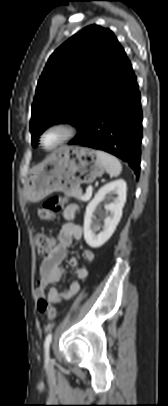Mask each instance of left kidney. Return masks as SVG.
Here are the masks:
<instances>
[{
    "instance_id": "5707ae66",
    "label": "left kidney",
    "mask_w": 168,
    "mask_h": 406,
    "mask_svg": "<svg viewBox=\"0 0 168 406\" xmlns=\"http://www.w3.org/2000/svg\"><path fill=\"white\" fill-rule=\"evenodd\" d=\"M126 182L123 179H118L105 184L99 189L92 201L86 207L84 216V239L92 248H99L106 243L114 231L122 217V209L126 202ZM116 194L117 197L112 195ZM112 200L111 203L105 204V212H98L97 206L103 200ZM97 212L100 220L96 219L94 213ZM103 221V225L101 224ZM102 227V231L96 234Z\"/></svg>"
}]
</instances>
